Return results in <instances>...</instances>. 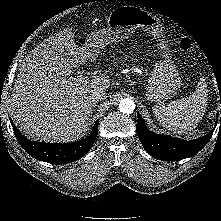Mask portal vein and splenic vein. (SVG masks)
Instances as JSON below:
<instances>
[{"label": "portal vein and splenic vein", "mask_w": 221, "mask_h": 221, "mask_svg": "<svg viewBox=\"0 0 221 221\" xmlns=\"http://www.w3.org/2000/svg\"><path fill=\"white\" fill-rule=\"evenodd\" d=\"M69 81L89 82L90 81V76L85 75L82 71H79L77 78H69Z\"/></svg>", "instance_id": "1"}]
</instances>
